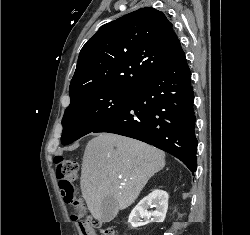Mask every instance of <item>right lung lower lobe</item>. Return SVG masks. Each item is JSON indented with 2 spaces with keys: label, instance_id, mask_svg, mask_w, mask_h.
Wrapping results in <instances>:
<instances>
[{
  "label": "right lung lower lobe",
  "instance_id": "right-lung-lower-lobe-1",
  "mask_svg": "<svg viewBox=\"0 0 250 235\" xmlns=\"http://www.w3.org/2000/svg\"><path fill=\"white\" fill-rule=\"evenodd\" d=\"M193 100L191 71L179 43L169 63L140 83L122 108L92 132L115 133L151 144L181 160L194 174Z\"/></svg>",
  "mask_w": 250,
  "mask_h": 235
}]
</instances>
